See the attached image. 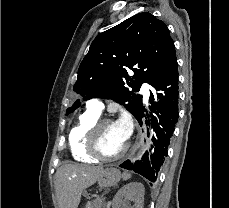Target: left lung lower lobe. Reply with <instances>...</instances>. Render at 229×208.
Here are the masks:
<instances>
[{"mask_svg": "<svg viewBox=\"0 0 229 208\" xmlns=\"http://www.w3.org/2000/svg\"><path fill=\"white\" fill-rule=\"evenodd\" d=\"M178 84L176 64L170 76L159 85L154 86L153 92H150L149 102L152 104L149 107L150 115L143 107L135 114L140 125H142V117L149 118L151 116L152 118L150 121L155 136L152 138L153 145L149 153L146 152L142 160L137 161L134 165L129 160L120 165L125 169L134 170L151 182H155L157 179V173L167 156L168 145L178 121ZM144 112L147 113V117Z\"/></svg>", "mask_w": 229, "mask_h": 208, "instance_id": "left-lung-lower-lobe-1", "label": "left lung lower lobe"}]
</instances>
